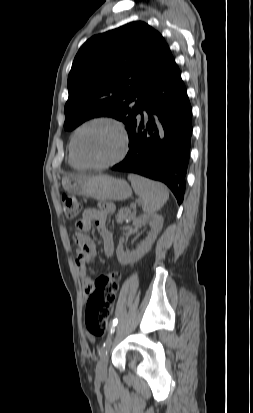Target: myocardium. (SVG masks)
Wrapping results in <instances>:
<instances>
[{
    "instance_id": "f54148a6",
    "label": "myocardium",
    "mask_w": 253,
    "mask_h": 413,
    "mask_svg": "<svg viewBox=\"0 0 253 413\" xmlns=\"http://www.w3.org/2000/svg\"><path fill=\"white\" fill-rule=\"evenodd\" d=\"M107 124L112 126L116 132L119 135V139H120V150L118 152V154L105 162L102 163H97V164H90V163H86L84 161H82L76 151V140L78 135L80 134V132L82 130H84L85 128L94 125V124ZM128 136L126 133V130L123 126V124L113 118V117H109V116H97V117H93L87 121H85L84 123H82L73 133L72 137H71V142H70V151H71V155L74 159V161L82 168L85 169H105V168H109L111 166H114L116 164H118L119 162H121L124 157L126 156L127 152H128Z\"/></svg>"
}]
</instances>
